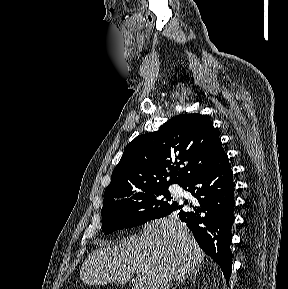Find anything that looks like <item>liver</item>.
Here are the masks:
<instances>
[{
  "mask_svg": "<svg viewBox=\"0 0 288 289\" xmlns=\"http://www.w3.org/2000/svg\"><path fill=\"white\" fill-rule=\"evenodd\" d=\"M204 256L186 225L172 215L146 223L140 236L112 245L101 242L82 264L80 279L88 285L125 284L136 273L140 289H166Z\"/></svg>",
  "mask_w": 288,
  "mask_h": 289,
  "instance_id": "obj_1",
  "label": "liver"
}]
</instances>
